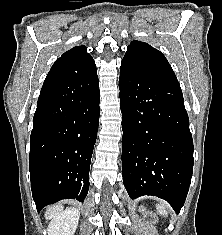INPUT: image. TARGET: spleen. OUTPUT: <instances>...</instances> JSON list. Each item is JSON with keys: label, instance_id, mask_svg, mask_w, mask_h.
<instances>
[{"label": "spleen", "instance_id": "1", "mask_svg": "<svg viewBox=\"0 0 222 235\" xmlns=\"http://www.w3.org/2000/svg\"><path fill=\"white\" fill-rule=\"evenodd\" d=\"M167 204L166 203H160L156 206L157 211L159 212V214H161L162 216H167L168 212H167Z\"/></svg>", "mask_w": 222, "mask_h": 235}]
</instances>
